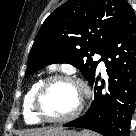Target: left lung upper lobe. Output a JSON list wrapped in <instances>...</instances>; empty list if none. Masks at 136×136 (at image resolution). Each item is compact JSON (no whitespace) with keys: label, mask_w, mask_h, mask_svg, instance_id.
<instances>
[{"label":"left lung upper lobe","mask_w":136,"mask_h":136,"mask_svg":"<svg viewBox=\"0 0 136 136\" xmlns=\"http://www.w3.org/2000/svg\"><path fill=\"white\" fill-rule=\"evenodd\" d=\"M131 8L127 0H68L52 12L38 31L25 74L53 63L80 69L89 81L109 40Z\"/></svg>","instance_id":"1"}]
</instances>
